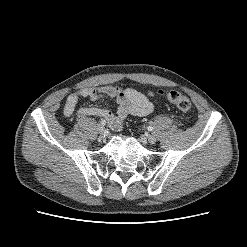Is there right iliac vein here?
<instances>
[{"instance_id": "right-iliac-vein-1", "label": "right iliac vein", "mask_w": 247, "mask_h": 247, "mask_svg": "<svg viewBox=\"0 0 247 247\" xmlns=\"http://www.w3.org/2000/svg\"><path fill=\"white\" fill-rule=\"evenodd\" d=\"M97 130H98V132H99L100 134H103L104 131H105V128H104L103 125L99 124V125L97 126Z\"/></svg>"}]
</instances>
